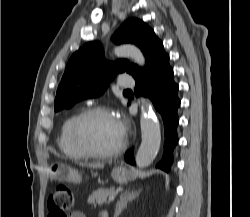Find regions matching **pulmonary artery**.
<instances>
[{"instance_id": "e3ab8cb5", "label": "pulmonary artery", "mask_w": 250, "mask_h": 217, "mask_svg": "<svg viewBox=\"0 0 250 217\" xmlns=\"http://www.w3.org/2000/svg\"><path fill=\"white\" fill-rule=\"evenodd\" d=\"M119 85L123 88H131L134 85V81L129 78H120Z\"/></svg>"}]
</instances>
